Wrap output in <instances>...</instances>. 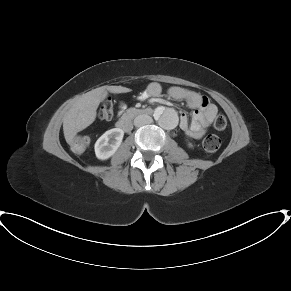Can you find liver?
Here are the masks:
<instances>
[{
	"mask_svg": "<svg viewBox=\"0 0 291 291\" xmlns=\"http://www.w3.org/2000/svg\"><path fill=\"white\" fill-rule=\"evenodd\" d=\"M130 89L122 86H102L80 97L63 118V130L66 141L71 144L75 135L91 125L96 119L99 104L110 93H125Z\"/></svg>",
	"mask_w": 291,
	"mask_h": 291,
	"instance_id": "1",
	"label": "liver"
}]
</instances>
